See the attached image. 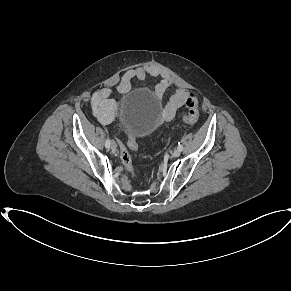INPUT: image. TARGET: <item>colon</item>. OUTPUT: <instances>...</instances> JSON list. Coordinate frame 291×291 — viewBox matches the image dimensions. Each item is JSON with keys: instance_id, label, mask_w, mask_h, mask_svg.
I'll return each instance as SVG.
<instances>
[{"instance_id": "5ec220e1", "label": "colon", "mask_w": 291, "mask_h": 291, "mask_svg": "<svg viewBox=\"0 0 291 291\" xmlns=\"http://www.w3.org/2000/svg\"><path fill=\"white\" fill-rule=\"evenodd\" d=\"M199 117V100L194 93H190L186 100V111L184 112L183 118L188 122H195ZM138 149V144L133 136L128 137L127 145L120 143V156L123 165L126 170L131 174L132 177H137V172L135 171L130 152H136Z\"/></svg>"}]
</instances>
